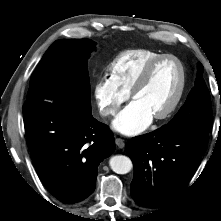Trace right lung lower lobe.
<instances>
[{"label":"right lung lower lobe","instance_id":"right-lung-lower-lobe-1","mask_svg":"<svg viewBox=\"0 0 221 221\" xmlns=\"http://www.w3.org/2000/svg\"><path fill=\"white\" fill-rule=\"evenodd\" d=\"M23 118L28 148L45 187L64 203L87 198L95 189L99 163L115 149L107 125L64 98L27 101Z\"/></svg>","mask_w":221,"mask_h":221}]
</instances>
